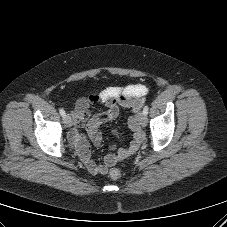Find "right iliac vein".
<instances>
[{
  "instance_id": "right-iliac-vein-1",
  "label": "right iliac vein",
  "mask_w": 227,
  "mask_h": 227,
  "mask_svg": "<svg viewBox=\"0 0 227 227\" xmlns=\"http://www.w3.org/2000/svg\"><path fill=\"white\" fill-rule=\"evenodd\" d=\"M64 123L67 127H71L72 126V119L71 117L67 114L64 117Z\"/></svg>"
}]
</instances>
